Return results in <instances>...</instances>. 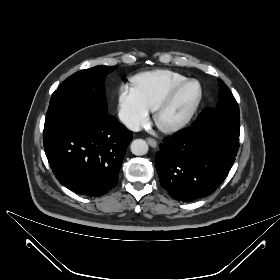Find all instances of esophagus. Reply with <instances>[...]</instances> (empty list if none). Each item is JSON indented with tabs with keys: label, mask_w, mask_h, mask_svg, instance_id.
Masks as SVG:
<instances>
[{
	"label": "esophagus",
	"mask_w": 280,
	"mask_h": 280,
	"mask_svg": "<svg viewBox=\"0 0 280 280\" xmlns=\"http://www.w3.org/2000/svg\"><path fill=\"white\" fill-rule=\"evenodd\" d=\"M146 141H147V143H148L151 147H153V148H155V147L157 146V142H156V140L153 139V138L148 137V138L146 139Z\"/></svg>",
	"instance_id": "34e87169"
}]
</instances>
